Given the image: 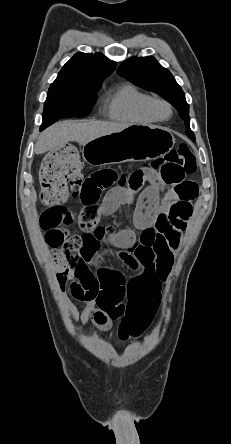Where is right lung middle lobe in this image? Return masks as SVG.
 <instances>
[{"label": "right lung middle lobe", "instance_id": "obj_1", "mask_svg": "<svg viewBox=\"0 0 231 444\" xmlns=\"http://www.w3.org/2000/svg\"><path fill=\"white\" fill-rule=\"evenodd\" d=\"M97 90H49L44 103L43 122L40 130L61 118L88 115L95 103Z\"/></svg>", "mask_w": 231, "mask_h": 444}]
</instances>
